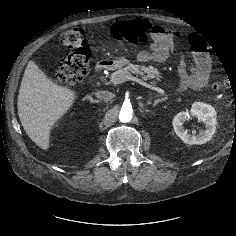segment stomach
Returning a JSON list of instances; mask_svg holds the SVG:
<instances>
[{
	"label": "stomach",
	"instance_id": "1",
	"mask_svg": "<svg viewBox=\"0 0 236 236\" xmlns=\"http://www.w3.org/2000/svg\"><path fill=\"white\" fill-rule=\"evenodd\" d=\"M129 63V60L124 57H118L113 60V65L117 68L123 67Z\"/></svg>",
	"mask_w": 236,
	"mask_h": 236
}]
</instances>
